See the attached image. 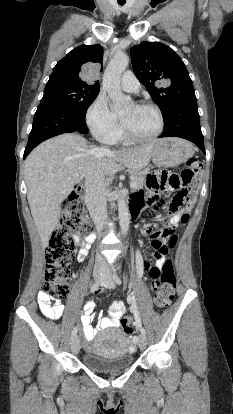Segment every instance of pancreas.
I'll list each match as a JSON object with an SVG mask.
<instances>
[{
    "instance_id": "cf45deb5",
    "label": "pancreas",
    "mask_w": 233,
    "mask_h": 414,
    "mask_svg": "<svg viewBox=\"0 0 233 414\" xmlns=\"http://www.w3.org/2000/svg\"><path fill=\"white\" fill-rule=\"evenodd\" d=\"M147 171H131L130 172V178L131 183H134L133 189H139L143 186L144 178Z\"/></svg>"
}]
</instances>
